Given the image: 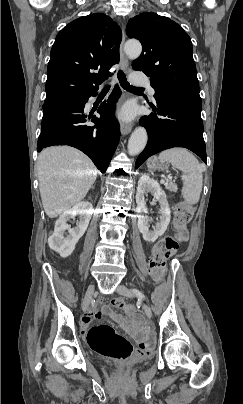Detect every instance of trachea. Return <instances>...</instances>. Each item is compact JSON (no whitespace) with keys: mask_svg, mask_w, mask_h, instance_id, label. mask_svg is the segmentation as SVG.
<instances>
[{"mask_svg":"<svg viewBox=\"0 0 243 404\" xmlns=\"http://www.w3.org/2000/svg\"><path fill=\"white\" fill-rule=\"evenodd\" d=\"M117 76H118V80L120 82L121 87L124 88L125 90H133L134 91V90H140L141 89V87H133V85H130V83L127 82L125 74H124V72L122 70L118 71ZM110 86H111L110 84H106L103 87V89L108 90L110 88Z\"/></svg>","mask_w":243,"mask_h":404,"instance_id":"trachea-1","label":"trachea"}]
</instances>
